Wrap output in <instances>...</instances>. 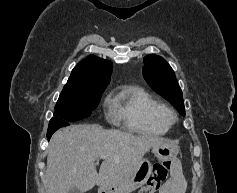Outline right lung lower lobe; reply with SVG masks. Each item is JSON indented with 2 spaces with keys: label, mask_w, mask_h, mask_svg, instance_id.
Masks as SVG:
<instances>
[{
  "label": "right lung lower lobe",
  "mask_w": 237,
  "mask_h": 193,
  "mask_svg": "<svg viewBox=\"0 0 237 193\" xmlns=\"http://www.w3.org/2000/svg\"><path fill=\"white\" fill-rule=\"evenodd\" d=\"M69 123L65 120L52 118L49 123L48 131H47V139L51 138L52 134L61 127L68 126Z\"/></svg>",
  "instance_id": "right-lung-lower-lobe-1"
}]
</instances>
